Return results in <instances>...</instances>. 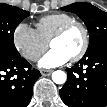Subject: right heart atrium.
Segmentation results:
<instances>
[{"instance_id": "d8ad5b80", "label": "right heart atrium", "mask_w": 107, "mask_h": 107, "mask_svg": "<svg viewBox=\"0 0 107 107\" xmlns=\"http://www.w3.org/2000/svg\"><path fill=\"white\" fill-rule=\"evenodd\" d=\"M12 40L15 49L28 61L38 60L48 47L37 31L23 22L15 27Z\"/></svg>"}]
</instances>
